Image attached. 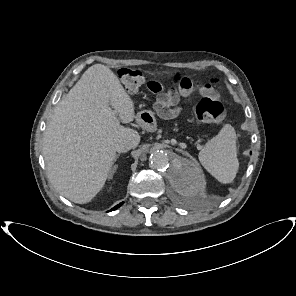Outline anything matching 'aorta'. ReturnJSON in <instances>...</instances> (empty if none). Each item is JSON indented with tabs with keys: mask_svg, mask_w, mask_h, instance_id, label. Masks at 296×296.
<instances>
[{
	"mask_svg": "<svg viewBox=\"0 0 296 296\" xmlns=\"http://www.w3.org/2000/svg\"><path fill=\"white\" fill-rule=\"evenodd\" d=\"M150 165L154 170L166 175L178 189L197 192L202 188V178L194 163L174 152L153 151Z\"/></svg>",
	"mask_w": 296,
	"mask_h": 296,
	"instance_id": "aorta-1",
	"label": "aorta"
}]
</instances>
